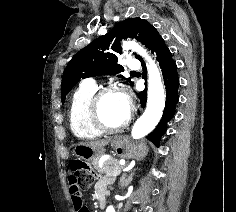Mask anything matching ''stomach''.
Here are the masks:
<instances>
[{"label": "stomach", "mask_w": 236, "mask_h": 212, "mask_svg": "<svg viewBox=\"0 0 236 212\" xmlns=\"http://www.w3.org/2000/svg\"><path fill=\"white\" fill-rule=\"evenodd\" d=\"M111 146L115 153L120 157L141 158L146 153V145L141 143H132L124 136H114L111 140ZM104 154V149H93L87 145L79 144L73 150V155L77 158L91 162L100 158Z\"/></svg>", "instance_id": "stomach-1"}]
</instances>
